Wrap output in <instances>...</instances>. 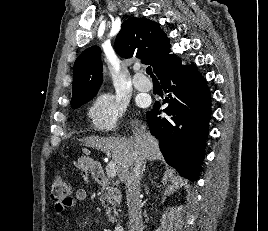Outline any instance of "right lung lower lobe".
I'll use <instances>...</instances> for the list:
<instances>
[{"label": "right lung lower lobe", "instance_id": "right-lung-lower-lobe-1", "mask_svg": "<svg viewBox=\"0 0 268 231\" xmlns=\"http://www.w3.org/2000/svg\"><path fill=\"white\" fill-rule=\"evenodd\" d=\"M167 94L160 114V103L147 113L150 131L160 140V149L167 163L181 175L196 181L205 154L209 132L211 97L206 81L194 66H182L181 62L165 70L158 77Z\"/></svg>", "mask_w": 268, "mask_h": 231}]
</instances>
